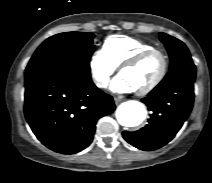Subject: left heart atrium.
I'll return each mask as SVG.
<instances>
[{
  "instance_id": "39dd6f15",
  "label": "left heart atrium",
  "mask_w": 212,
  "mask_h": 183,
  "mask_svg": "<svg viewBox=\"0 0 212 183\" xmlns=\"http://www.w3.org/2000/svg\"><path fill=\"white\" fill-rule=\"evenodd\" d=\"M111 90L116 93H130L135 91L134 87L121 74L112 81Z\"/></svg>"
}]
</instances>
